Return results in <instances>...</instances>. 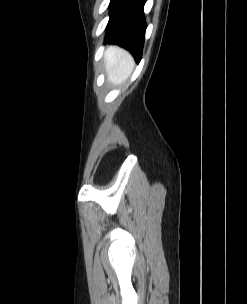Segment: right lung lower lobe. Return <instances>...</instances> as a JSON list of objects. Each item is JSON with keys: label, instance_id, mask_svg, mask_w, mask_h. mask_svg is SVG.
<instances>
[{"label": "right lung lower lobe", "instance_id": "right-lung-lower-lobe-1", "mask_svg": "<svg viewBox=\"0 0 247 304\" xmlns=\"http://www.w3.org/2000/svg\"><path fill=\"white\" fill-rule=\"evenodd\" d=\"M146 0H111L110 20L104 44H118L129 50L139 63L142 55L146 22L143 7Z\"/></svg>", "mask_w": 247, "mask_h": 304}]
</instances>
